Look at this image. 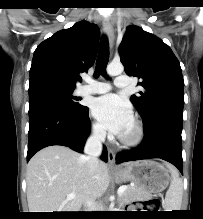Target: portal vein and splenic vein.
I'll list each match as a JSON object with an SVG mask.
<instances>
[{
    "label": "portal vein and splenic vein",
    "mask_w": 203,
    "mask_h": 219,
    "mask_svg": "<svg viewBox=\"0 0 203 219\" xmlns=\"http://www.w3.org/2000/svg\"><path fill=\"white\" fill-rule=\"evenodd\" d=\"M126 189H127L126 186H120L117 191L118 196H122V194L125 192ZM75 197L76 195L74 193L67 195L68 200L74 199Z\"/></svg>",
    "instance_id": "portal-vein-and-splenic-vein-1"
}]
</instances>
